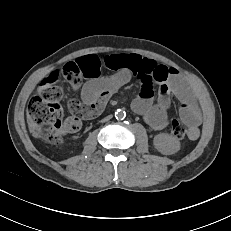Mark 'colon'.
Wrapping results in <instances>:
<instances>
[{"instance_id": "colon-1", "label": "colon", "mask_w": 231, "mask_h": 231, "mask_svg": "<svg viewBox=\"0 0 231 231\" xmlns=\"http://www.w3.org/2000/svg\"><path fill=\"white\" fill-rule=\"evenodd\" d=\"M63 97L61 87L53 83L42 82L38 93L28 103L27 121L33 136L52 143L63 142L65 124L60 100ZM171 134L178 139L188 134L187 127L178 120H173Z\"/></svg>"}]
</instances>
